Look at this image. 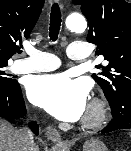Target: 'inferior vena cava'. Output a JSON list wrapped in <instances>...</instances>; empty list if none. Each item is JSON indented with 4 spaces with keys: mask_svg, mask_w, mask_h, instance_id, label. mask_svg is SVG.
<instances>
[{
    "mask_svg": "<svg viewBox=\"0 0 131 151\" xmlns=\"http://www.w3.org/2000/svg\"><path fill=\"white\" fill-rule=\"evenodd\" d=\"M20 144V151H38L34 145L33 133L29 128H22L17 131Z\"/></svg>",
    "mask_w": 131,
    "mask_h": 151,
    "instance_id": "1",
    "label": "inferior vena cava"
}]
</instances>
